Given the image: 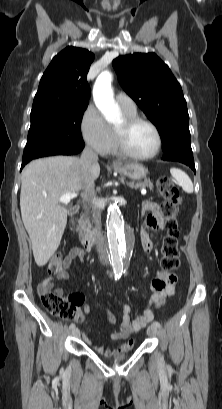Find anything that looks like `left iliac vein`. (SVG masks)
<instances>
[{
  "mask_svg": "<svg viewBox=\"0 0 222 409\" xmlns=\"http://www.w3.org/2000/svg\"><path fill=\"white\" fill-rule=\"evenodd\" d=\"M147 333L149 336L154 337L158 334V329L156 326H154L153 324L150 325L147 329Z\"/></svg>",
  "mask_w": 222,
  "mask_h": 409,
  "instance_id": "4c4485c4",
  "label": "left iliac vein"
}]
</instances>
